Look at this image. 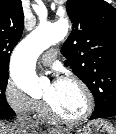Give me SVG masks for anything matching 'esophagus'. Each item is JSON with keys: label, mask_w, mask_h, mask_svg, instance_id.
Returning a JSON list of instances; mask_svg holds the SVG:
<instances>
[{"label": "esophagus", "mask_w": 116, "mask_h": 134, "mask_svg": "<svg viewBox=\"0 0 116 134\" xmlns=\"http://www.w3.org/2000/svg\"><path fill=\"white\" fill-rule=\"evenodd\" d=\"M55 131H56V130L53 129V128H49V129H48V132H49V133H53V132H55Z\"/></svg>", "instance_id": "obj_1"}]
</instances>
